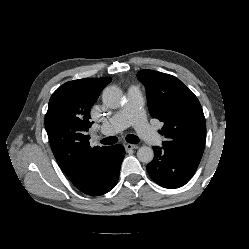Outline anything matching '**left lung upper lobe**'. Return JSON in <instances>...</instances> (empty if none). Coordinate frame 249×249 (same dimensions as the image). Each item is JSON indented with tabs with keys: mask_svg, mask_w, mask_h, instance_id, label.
I'll return each mask as SVG.
<instances>
[{
	"mask_svg": "<svg viewBox=\"0 0 249 249\" xmlns=\"http://www.w3.org/2000/svg\"><path fill=\"white\" fill-rule=\"evenodd\" d=\"M137 77L145 85L151 116L164 123L160 131L166 138L163 146L199 164L206 121L197 97L172 75L145 69Z\"/></svg>",
	"mask_w": 249,
	"mask_h": 249,
	"instance_id": "obj_1",
	"label": "left lung upper lobe"
}]
</instances>
